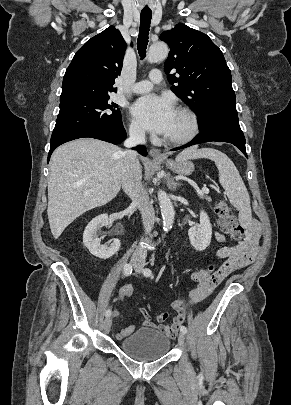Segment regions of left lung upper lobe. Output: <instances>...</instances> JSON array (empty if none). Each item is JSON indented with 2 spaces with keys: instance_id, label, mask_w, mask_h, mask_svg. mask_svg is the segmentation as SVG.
<instances>
[{
  "instance_id": "obj_1",
  "label": "left lung upper lobe",
  "mask_w": 291,
  "mask_h": 405,
  "mask_svg": "<svg viewBox=\"0 0 291 405\" xmlns=\"http://www.w3.org/2000/svg\"><path fill=\"white\" fill-rule=\"evenodd\" d=\"M170 52L164 64L172 91L198 116L199 129H205L219 113L237 114L231 72L223 53L204 33L179 23L163 32ZM174 69L175 74L169 75Z\"/></svg>"
}]
</instances>
